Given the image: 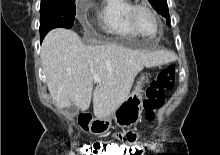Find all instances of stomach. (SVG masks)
Returning <instances> with one entry per match:
<instances>
[{
    "mask_svg": "<svg viewBox=\"0 0 220 155\" xmlns=\"http://www.w3.org/2000/svg\"><path fill=\"white\" fill-rule=\"evenodd\" d=\"M147 80L140 78L132 93L126 98L116 110L107 118L91 119L82 129L95 135H101L109 131L112 126V119L118 126H132L142 119L143 107V86Z\"/></svg>",
    "mask_w": 220,
    "mask_h": 155,
    "instance_id": "stomach-1",
    "label": "stomach"
}]
</instances>
